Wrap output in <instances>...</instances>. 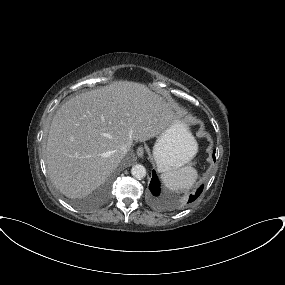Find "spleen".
<instances>
[{"instance_id":"1","label":"spleen","mask_w":285,"mask_h":285,"mask_svg":"<svg viewBox=\"0 0 285 285\" xmlns=\"http://www.w3.org/2000/svg\"><path fill=\"white\" fill-rule=\"evenodd\" d=\"M158 170L162 172L160 178L165 187L171 191L189 190L198 178L197 170L191 166L174 171H164L159 168Z\"/></svg>"}]
</instances>
